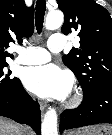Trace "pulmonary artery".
<instances>
[{
	"label": "pulmonary artery",
	"mask_w": 112,
	"mask_h": 135,
	"mask_svg": "<svg viewBox=\"0 0 112 135\" xmlns=\"http://www.w3.org/2000/svg\"><path fill=\"white\" fill-rule=\"evenodd\" d=\"M64 37L60 34L52 35L47 42V50L41 47H18L16 62L26 65L46 63L50 60L51 52H59L64 48Z\"/></svg>",
	"instance_id": "obj_1"
}]
</instances>
